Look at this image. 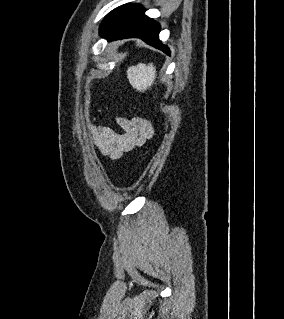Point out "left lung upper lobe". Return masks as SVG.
I'll use <instances>...</instances> for the list:
<instances>
[{
  "mask_svg": "<svg viewBox=\"0 0 284 319\" xmlns=\"http://www.w3.org/2000/svg\"><path fill=\"white\" fill-rule=\"evenodd\" d=\"M120 7L112 10L103 20V22L100 25V31H102L107 24L112 20V18L114 17V15L117 13V11L119 10Z\"/></svg>",
  "mask_w": 284,
  "mask_h": 319,
  "instance_id": "left-lung-upper-lobe-1",
  "label": "left lung upper lobe"
}]
</instances>
